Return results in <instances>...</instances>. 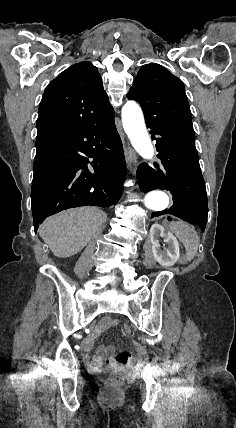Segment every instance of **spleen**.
<instances>
[{"label":"spleen","mask_w":236,"mask_h":428,"mask_svg":"<svg viewBox=\"0 0 236 428\" xmlns=\"http://www.w3.org/2000/svg\"><path fill=\"white\" fill-rule=\"evenodd\" d=\"M170 230L182 242L188 262L193 260L199 246V238L195 232V228L189 226V224H185V222H172Z\"/></svg>","instance_id":"obj_1"}]
</instances>
